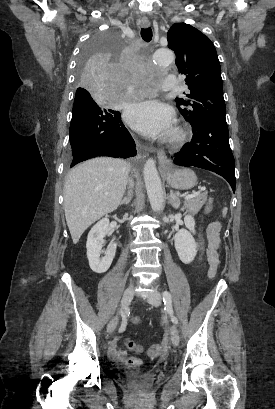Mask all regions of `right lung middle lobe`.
<instances>
[{
    "label": "right lung middle lobe",
    "instance_id": "1",
    "mask_svg": "<svg viewBox=\"0 0 275 409\" xmlns=\"http://www.w3.org/2000/svg\"><path fill=\"white\" fill-rule=\"evenodd\" d=\"M126 37L120 30H97L95 38L85 43L74 71L79 89L76 91L70 124V149L62 178L74 166L97 156L127 157L136 155V144L120 117L125 96H109L105 91H129L130 83L122 82V71L116 70V51H122ZM133 169H144V160H133Z\"/></svg>",
    "mask_w": 275,
    "mask_h": 409
}]
</instances>
